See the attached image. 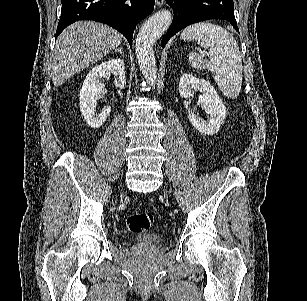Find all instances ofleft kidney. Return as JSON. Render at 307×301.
<instances>
[{
	"instance_id": "5707ae66",
	"label": "left kidney",
	"mask_w": 307,
	"mask_h": 301,
	"mask_svg": "<svg viewBox=\"0 0 307 301\" xmlns=\"http://www.w3.org/2000/svg\"><path fill=\"white\" fill-rule=\"evenodd\" d=\"M194 90H200L203 94L199 96V102L202 104L209 120H202L195 112H189V122L204 134H216L226 116V108L214 86L209 80L196 78L190 72H184L180 76L179 92L180 96H191Z\"/></svg>"
}]
</instances>
